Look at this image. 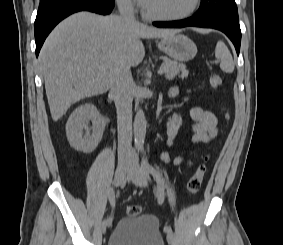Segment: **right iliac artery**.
Instances as JSON below:
<instances>
[{
    "mask_svg": "<svg viewBox=\"0 0 283 245\" xmlns=\"http://www.w3.org/2000/svg\"><path fill=\"white\" fill-rule=\"evenodd\" d=\"M109 201H110L111 206L114 208L115 207V191L113 188H111L109 192ZM107 221L112 223V217H109Z\"/></svg>",
    "mask_w": 283,
    "mask_h": 245,
    "instance_id": "1",
    "label": "right iliac artery"
}]
</instances>
